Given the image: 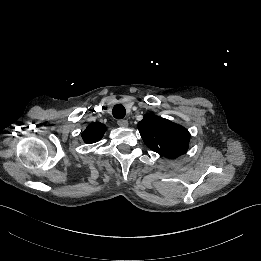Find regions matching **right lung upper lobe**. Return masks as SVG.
I'll use <instances>...</instances> for the list:
<instances>
[{"mask_svg": "<svg viewBox=\"0 0 261 261\" xmlns=\"http://www.w3.org/2000/svg\"><path fill=\"white\" fill-rule=\"evenodd\" d=\"M106 126L100 122H93L88 125L86 130L82 133V138L86 143H95L104 135Z\"/></svg>", "mask_w": 261, "mask_h": 261, "instance_id": "right-lung-upper-lobe-1", "label": "right lung upper lobe"}]
</instances>
